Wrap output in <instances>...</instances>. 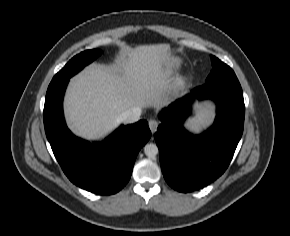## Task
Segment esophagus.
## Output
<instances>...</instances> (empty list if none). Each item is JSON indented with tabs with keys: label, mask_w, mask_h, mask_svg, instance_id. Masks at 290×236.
I'll return each mask as SVG.
<instances>
[{
	"label": "esophagus",
	"mask_w": 290,
	"mask_h": 236,
	"mask_svg": "<svg viewBox=\"0 0 290 236\" xmlns=\"http://www.w3.org/2000/svg\"><path fill=\"white\" fill-rule=\"evenodd\" d=\"M149 128L151 130L152 133H155L157 130V127L159 125V122L155 119H150L148 122Z\"/></svg>",
	"instance_id": "34e87169"
}]
</instances>
